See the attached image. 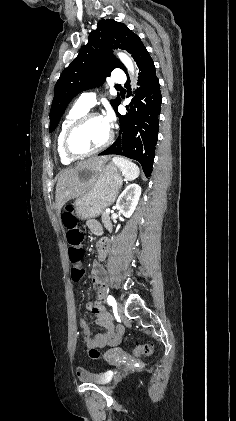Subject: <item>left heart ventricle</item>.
<instances>
[{"label": "left heart ventricle", "mask_w": 236, "mask_h": 421, "mask_svg": "<svg viewBox=\"0 0 236 421\" xmlns=\"http://www.w3.org/2000/svg\"><path fill=\"white\" fill-rule=\"evenodd\" d=\"M109 127L103 118H91L74 132L72 146L79 153L88 152L101 145L108 137Z\"/></svg>", "instance_id": "1"}]
</instances>
